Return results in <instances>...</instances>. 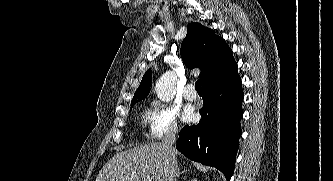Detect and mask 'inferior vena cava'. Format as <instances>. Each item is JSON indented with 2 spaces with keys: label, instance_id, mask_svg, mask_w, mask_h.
I'll return each instance as SVG.
<instances>
[{
  "label": "inferior vena cava",
  "instance_id": "602c4592",
  "mask_svg": "<svg viewBox=\"0 0 333 181\" xmlns=\"http://www.w3.org/2000/svg\"><path fill=\"white\" fill-rule=\"evenodd\" d=\"M176 133H177V127H173L170 129V131L166 134V136L162 140V145L169 154L170 165H171L170 172L166 179L167 181H173L177 174L178 167L173 148V145L176 141Z\"/></svg>",
  "mask_w": 333,
  "mask_h": 181
}]
</instances>
